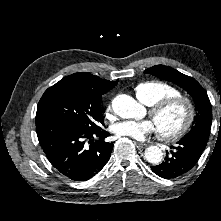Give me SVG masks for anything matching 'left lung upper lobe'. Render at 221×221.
Returning a JSON list of instances; mask_svg holds the SVG:
<instances>
[{
	"label": "left lung upper lobe",
	"mask_w": 221,
	"mask_h": 221,
	"mask_svg": "<svg viewBox=\"0 0 221 221\" xmlns=\"http://www.w3.org/2000/svg\"><path fill=\"white\" fill-rule=\"evenodd\" d=\"M144 72L175 83L193 97L197 113L188 134L198 131L210 132L212 124V106L206 91L194 78L164 65L153 66L146 69Z\"/></svg>",
	"instance_id": "left-lung-upper-lobe-1"
}]
</instances>
